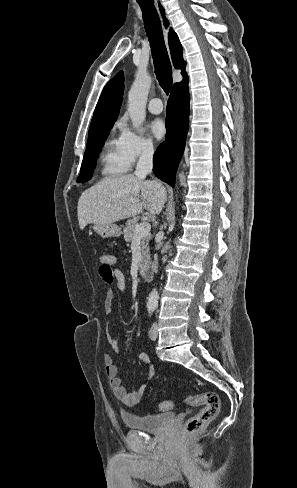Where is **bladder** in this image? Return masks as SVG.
<instances>
[{
    "instance_id": "bladder-1",
    "label": "bladder",
    "mask_w": 297,
    "mask_h": 488,
    "mask_svg": "<svg viewBox=\"0 0 297 488\" xmlns=\"http://www.w3.org/2000/svg\"><path fill=\"white\" fill-rule=\"evenodd\" d=\"M173 418L174 414L171 412L148 416L124 412L121 415L122 422L126 428L143 432L161 431L170 424Z\"/></svg>"
}]
</instances>
